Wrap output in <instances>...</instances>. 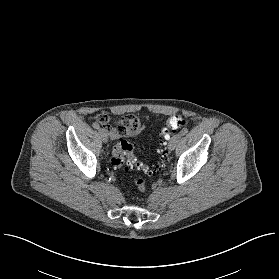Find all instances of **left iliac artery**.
<instances>
[{
    "instance_id": "left-iliac-artery-1",
    "label": "left iliac artery",
    "mask_w": 279,
    "mask_h": 279,
    "mask_svg": "<svg viewBox=\"0 0 279 279\" xmlns=\"http://www.w3.org/2000/svg\"><path fill=\"white\" fill-rule=\"evenodd\" d=\"M187 133H188V129H187V128H183V129L181 130V135H186ZM166 139L169 140V139H170V136L167 135V136H166Z\"/></svg>"
}]
</instances>
